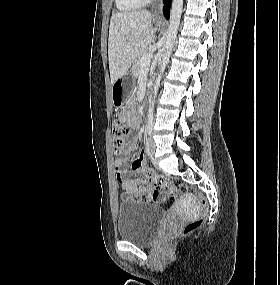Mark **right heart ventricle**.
Segmentation results:
<instances>
[{
    "mask_svg": "<svg viewBox=\"0 0 280 285\" xmlns=\"http://www.w3.org/2000/svg\"><path fill=\"white\" fill-rule=\"evenodd\" d=\"M146 4V0H115L116 8L121 12H132Z\"/></svg>",
    "mask_w": 280,
    "mask_h": 285,
    "instance_id": "right-heart-ventricle-1",
    "label": "right heart ventricle"
}]
</instances>
